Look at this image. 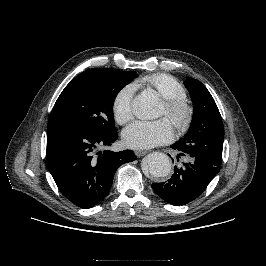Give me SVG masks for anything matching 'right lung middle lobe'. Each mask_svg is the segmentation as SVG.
Listing matches in <instances>:
<instances>
[{
    "label": "right lung middle lobe",
    "mask_w": 266,
    "mask_h": 266,
    "mask_svg": "<svg viewBox=\"0 0 266 266\" xmlns=\"http://www.w3.org/2000/svg\"><path fill=\"white\" fill-rule=\"evenodd\" d=\"M136 77L134 71L106 68L80 73L58 97L48 124H68L96 133L114 131V99Z\"/></svg>",
    "instance_id": "obj_1"
}]
</instances>
